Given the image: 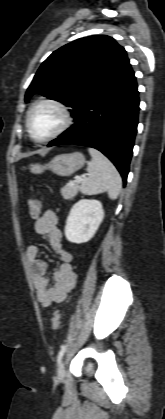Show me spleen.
Instances as JSON below:
<instances>
[{"label": "spleen", "mask_w": 165, "mask_h": 419, "mask_svg": "<svg viewBox=\"0 0 165 419\" xmlns=\"http://www.w3.org/2000/svg\"><path fill=\"white\" fill-rule=\"evenodd\" d=\"M92 160L88 165V177L83 180L80 190L86 195L107 192L115 200L120 194L122 180L115 166L100 151L88 149Z\"/></svg>", "instance_id": "obj_1"}]
</instances>
